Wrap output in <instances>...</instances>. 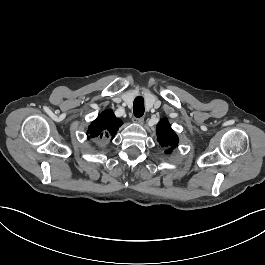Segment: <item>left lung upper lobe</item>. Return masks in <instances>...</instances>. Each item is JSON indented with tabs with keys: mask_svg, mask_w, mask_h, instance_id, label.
I'll list each match as a JSON object with an SVG mask.
<instances>
[{
	"mask_svg": "<svg viewBox=\"0 0 265 265\" xmlns=\"http://www.w3.org/2000/svg\"><path fill=\"white\" fill-rule=\"evenodd\" d=\"M157 140L162 147L167 148L168 153H171L178 144V137L167 119H161L157 125Z\"/></svg>",
	"mask_w": 265,
	"mask_h": 265,
	"instance_id": "1",
	"label": "left lung upper lobe"
}]
</instances>
